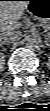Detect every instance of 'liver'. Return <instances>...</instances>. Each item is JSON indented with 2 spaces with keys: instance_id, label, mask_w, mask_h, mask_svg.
Instances as JSON below:
<instances>
[{
  "instance_id": "obj_1",
  "label": "liver",
  "mask_w": 50,
  "mask_h": 111,
  "mask_svg": "<svg viewBox=\"0 0 50 111\" xmlns=\"http://www.w3.org/2000/svg\"><path fill=\"white\" fill-rule=\"evenodd\" d=\"M28 4V0L0 2V18L2 21H6V25L2 26V31H14L20 27L17 21L23 16Z\"/></svg>"
}]
</instances>
